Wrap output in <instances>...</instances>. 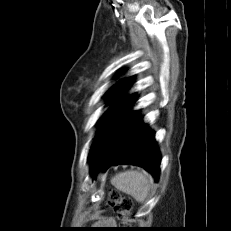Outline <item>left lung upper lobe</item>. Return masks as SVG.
<instances>
[{
    "label": "left lung upper lobe",
    "mask_w": 231,
    "mask_h": 231,
    "mask_svg": "<svg viewBox=\"0 0 231 231\" xmlns=\"http://www.w3.org/2000/svg\"><path fill=\"white\" fill-rule=\"evenodd\" d=\"M131 80V77L120 80L107 91L106 95L109 96V101H115L100 119L104 121V123L92 143L90 152L108 124L132 101L133 94L129 96H121L130 87Z\"/></svg>",
    "instance_id": "1"
}]
</instances>
